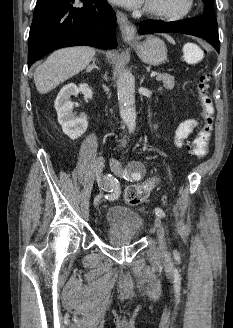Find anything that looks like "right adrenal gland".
<instances>
[{
  "label": "right adrenal gland",
  "instance_id": "2a0ac1e0",
  "mask_svg": "<svg viewBox=\"0 0 233 328\" xmlns=\"http://www.w3.org/2000/svg\"><path fill=\"white\" fill-rule=\"evenodd\" d=\"M95 62H96V57H94V58L92 59V64L89 65V66L86 68V72H90V71H92L93 69L100 70V68L95 64Z\"/></svg>",
  "mask_w": 233,
  "mask_h": 328
}]
</instances>
